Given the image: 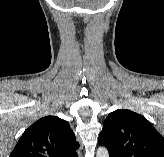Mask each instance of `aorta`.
I'll return each mask as SVG.
<instances>
[{"label": "aorta", "instance_id": "1", "mask_svg": "<svg viewBox=\"0 0 164 157\" xmlns=\"http://www.w3.org/2000/svg\"><path fill=\"white\" fill-rule=\"evenodd\" d=\"M96 157H109V152L105 147H99L96 152Z\"/></svg>", "mask_w": 164, "mask_h": 157}]
</instances>
